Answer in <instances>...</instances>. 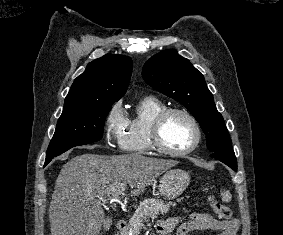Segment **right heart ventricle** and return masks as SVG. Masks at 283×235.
I'll use <instances>...</instances> for the list:
<instances>
[{
  "mask_svg": "<svg viewBox=\"0 0 283 235\" xmlns=\"http://www.w3.org/2000/svg\"><path fill=\"white\" fill-rule=\"evenodd\" d=\"M166 108L167 105L157 97L141 98L132 109L122 132L120 146L123 151L137 154L151 152V125L156 116Z\"/></svg>",
  "mask_w": 283,
  "mask_h": 235,
  "instance_id": "obj_1",
  "label": "right heart ventricle"
}]
</instances>
